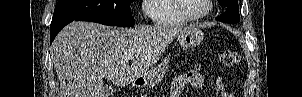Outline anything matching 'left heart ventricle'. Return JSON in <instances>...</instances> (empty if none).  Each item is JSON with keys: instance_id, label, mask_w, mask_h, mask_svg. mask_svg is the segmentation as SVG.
<instances>
[{"instance_id": "1", "label": "left heart ventricle", "mask_w": 302, "mask_h": 97, "mask_svg": "<svg viewBox=\"0 0 302 97\" xmlns=\"http://www.w3.org/2000/svg\"><path fill=\"white\" fill-rule=\"evenodd\" d=\"M183 9L190 15H200L206 10V0H182Z\"/></svg>"}]
</instances>
